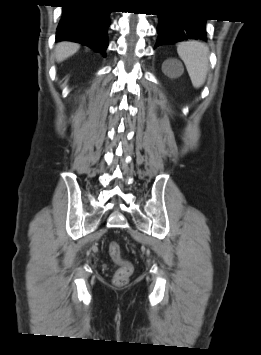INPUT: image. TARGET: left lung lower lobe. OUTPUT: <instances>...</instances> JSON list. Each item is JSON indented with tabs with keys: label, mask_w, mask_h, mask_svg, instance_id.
Wrapping results in <instances>:
<instances>
[{
	"label": "left lung lower lobe",
	"mask_w": 261,
	"mask_h": 355,
	"mask_svg": "<svg viewBox=\"0 0 261 355\" xmlns=\"http://www.w3.org/2000/svg\"><path fill=\"white\" fill-rule=\"evenodd\" d=\"M158 39L156 47L183 40H206V20L204 18L179 17L172 15H158Z\"/></svg>",
	"instance_id": "0a47b994"
}]
</instances>
